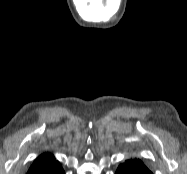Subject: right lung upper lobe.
Returning a JSON list of instances; mask_svg holds the SVG:
<instances>
[{"label": "right lung upper lobe", "instance_id": "cb5924a9", "mask_svg": "<svg viewBox=\"0 0 187 174\" xmlns=\"http://www.w3.org/2000/svg\"><path fill=\"white\" fill-rule=\"evenodd\" d=\"M61 169L53 155L43 154L34 161L27 174H56Z\"/></svg>", "mask_w": 187, "mask_h": 174}]
</instances>
